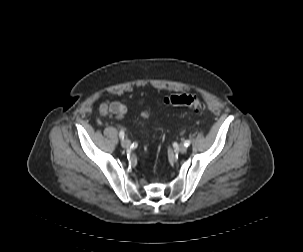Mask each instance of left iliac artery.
I'll return each mask as SVG.
<instances>
[{
    "mask_svg": "<svg viewBox=\"0 0 303 252\" xmlns=\"http://www.w3.org/2000/svg\"><path fill=\"white\" fill-rule=\"evenodd\" d=\"M184 145H185L186 147H188V146L190 145V141H189V140H186V141L184 142Z\"/></svg>",
    "mask_w": 303,
    "mask_h": 252,
    "instance_id": "obj_1",
    "label": "left iliac artery"
}]
</instances>
